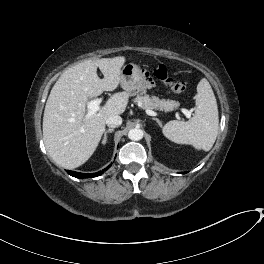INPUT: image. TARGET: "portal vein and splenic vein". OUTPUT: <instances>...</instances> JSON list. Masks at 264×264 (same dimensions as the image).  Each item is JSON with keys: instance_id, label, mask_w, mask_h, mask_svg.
Instances as JSON below:
<instances>
[{"instance_id": "portal-vein-and-splenic-vein-1", "label": "portal vein and splenic vein", "mask_w": 264, "mask_h": 264, "mask_svg": "<svg viewBox=\"0 0 264 264\" xmlns=\"http://www.w3.org/2000/svg\"><path fill=\"white\" fill-rule=\"evenodd\" d=\"M102 101H103L102 98H97V99L91 100L90 102L87 103V110H88L87 116L88 117L95 114L100 109V104L102 103ZM180 110L187 118L191 117V111H189L188 109L181 108ZM146 114H148L150 116H156L157 115L156 112H154L150 109H146Z\"/></svg>"}]
</instances>
